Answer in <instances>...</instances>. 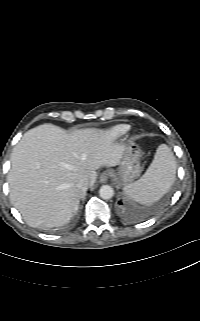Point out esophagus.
<instances>
[{
  "label": "esophagus",
  "instance_id": "34e87169",
  "mask_svg": "<svg viewBox=\"0 0 200 321\" xmlns=\"http://www.w3.org/2000/svg\"><path fill=\"white\" fill-rule=\"evenodd\" d=\"M110 178V172L104 171L100 174L99 180L101 183H106Z\"/></svg>",
  "mask_w": 200,
  "mask_h": 321
}]
</instances>
